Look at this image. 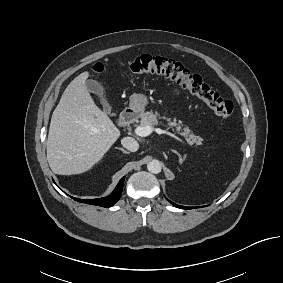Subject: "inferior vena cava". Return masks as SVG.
Here are the masks:
<instances>
[{"label": "inferior vena cava", "mask_w": 283, "mask_h": 283, "mask_svg": "<svg viewBox=\"0 0 283 283\" xmlns=\"http://www.w3.org/2000/svg\"><path fill=\"white\" fill-rule=\"evenodd\" d=\"M121 144L123 145V147H125L127 150L131 152H135L139 148L138 142L132 137H124L121 140Z\"/></svg>", "instance_id": "1"}]
</instances>
